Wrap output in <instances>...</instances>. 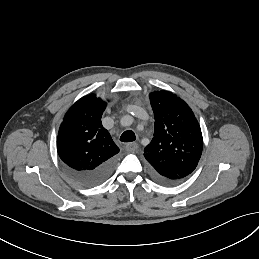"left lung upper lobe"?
<instances>
[{
  "label": "left lung upper lobe",
  "mask_w": 259,
  "mask_h": 259,
  "mask_svg": "<svg viewBox=\"0 0 259 259\" xmlns=\"http://www.w3.org/2000/svg\"><path fill=\"white\" fill-rule=\"evenodd\" d=\"M154 112V137L144 149L151 171L179 182L191 174L202 154L203 138L191 108L175 94L154 91L149 95Z\"/></svg>",
  "instance_id": "5c2ea615"
}]
</instances>
